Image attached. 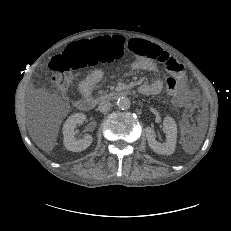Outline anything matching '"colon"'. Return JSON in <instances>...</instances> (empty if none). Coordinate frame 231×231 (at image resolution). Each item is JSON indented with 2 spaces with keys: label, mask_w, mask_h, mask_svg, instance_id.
<instances>
[{
  "label": "colon",
  "mask_w": 231,
  "mask_h": 231,
  "mask_svg": "<svg viewBox=\"0 0 231 231\" xmlns=\"http://www.w3.org/2000/svg\"><path fill=\"white\" fill-rule=\"evenodd\" d=\"M125 39L121 36H108L90 42L70 45L50 62L51 82L59 93H65L73 80V72L86 65H96L99 62H113L124 56ZM165 58V57H164ZM164 58H162V63ZM166 90L174 95L178 90L175 77L166 80Z\"/></svg>",
  "instance_id": "1"
}]
</instances>
